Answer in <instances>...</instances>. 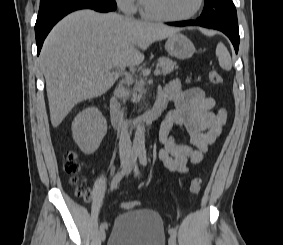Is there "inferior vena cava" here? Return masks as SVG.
I'll return each instance as SVG.
<instances>
[{
  "instance_id": "inferior-vena-cava-1",
  "label": "inferior vena cava",
  "mask_w": 283,
  "mask_h": 245,
  "mask_svg": "<svg viewBox=\"0 0 283 245\" xmlns=\"http://www.w3.org/2000/svg\"><path fill=\"white\" fill-rule=\"evenodd\" d=\"M117 96L123 98V102H125L126 91L122 84H119V88L117 90ZM123 114V113H122ZM132 153V143L130 140V134L127 128V122H122L121 131L119 134V155L120 159H127L130 157Z\"/></svg>"
}]
</instances>
